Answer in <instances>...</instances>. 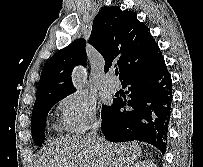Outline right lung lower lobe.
I'll use <instances>...</instances> for the list:
<instances>
[{
    "label": "right lung lower lobe",
    "mask_w": 203,
    "mask_h": 167,
    "mask_svg": "<svg viewBox=\"0 0 203 167\" xmlns=\"http://www.w3.org/2000/svg\"><path fill=\"white\" fill-rule=\"evenodd\" d=\"M130 100H113L102 117L101 130L112 142L140 140L164 154L171 114L172 80L164 58L153 67L128 75L121 82ZM132 109L126 110L125 106Z\"/></svg>",
    "instance_id": "right-lung-lower-lobe-1"
}]
</instances>
